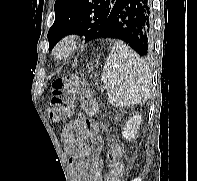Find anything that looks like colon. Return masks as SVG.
Returning <instances> with one entry per match:
<instances>
[{
	"mask_svg": "<svg viewBox=\"0 0 197 181\" xmlns=\"http://www.w3.org/2000/svg\"><path fill=\"white\" fill-rule=\"evenodd\" d=\"M78 99L82 108L90 115L97 112V104L91 98L89 91L76 76H68L53 81L51 87V102L48 106L49 117L53 120L69 116L73 112V103ZM120 149L112 146L108 153L109 172L105 181H121L122 166L118 162Z\"/></svg>",
	"mask_w": 197,
	"mask_h": 181,
	"instance_id": "1",
	"label": "colon"
}]
</instances>
